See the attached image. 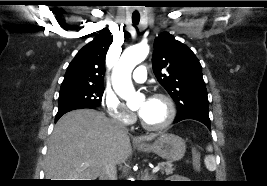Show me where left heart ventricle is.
<instances>
[{"instance_id":"obj_1","label":"left heart ventricle","mask_w":267,"mask_h":186,"mask_svg":"<svg viewBox=\"0 0 267 186\" xmlns=\"http://www.w3.org/2000/svg\"><path fill=\"white\" fill-rule=\"evenodd\" d=\"M144 101L138 103L140 109ZM168 108L164 101L152 98L147 106L145 114L141 117L143 121L149 125H159L167 117Z\"/></svg>"}]
</instances>
